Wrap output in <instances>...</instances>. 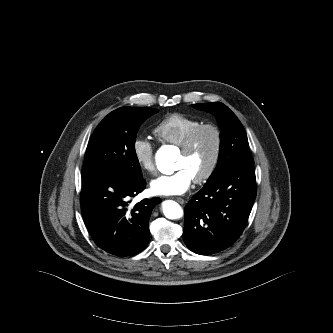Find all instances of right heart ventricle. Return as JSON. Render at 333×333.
Listing matches in <instances>:
<instances>
[{
    "label": "right heart ventricle",
    "mask_w": 333,
    "mask_h": 333,
    "mask_svg": "<svg viewBox=\"0 0 333 333\" xmlns=\"http://www.w3.org/2000/svg\"><path fill=\"white\" fill-rule=\"evenodd\" d=\"M201 124V120L174 113L159 122L154 134L161 141L181 146L188 134Z\"/></svg>",
    "instance_id": "right-heart-ventricle-1"
}]
</instances>
